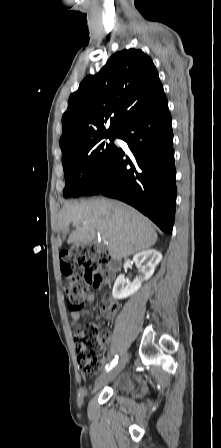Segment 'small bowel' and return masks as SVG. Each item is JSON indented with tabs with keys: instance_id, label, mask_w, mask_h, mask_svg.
I'll return each instance as SVG.
<instances>
[{
	"instance_id": "small-bowel-1",
	"label": "small bowel",
	"mask_w": 221,
	"mask_h": 448,
	"mask_svg": "<svg viewBox=\"0 0 221 448\" xmlns=\"http://www.w3.org/2000/svg\"><path fill=\"white\" fill-rule=\"evenodd\" d=\"M96 300V295L94 293H89L86 297V303L92 304ZM119 308V304L117 300L110 294H106L102 303L99 306L100 314L103 318L111 319L115 317ZM82 317V313L80 310L73 311L71 313L72 322L77 325Z\"/></svg>"
}]
</instances>
